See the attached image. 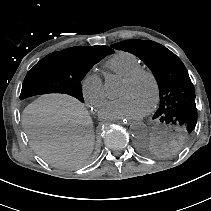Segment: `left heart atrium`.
<instances>
[{
    "instance_id": "39dd6f15",
    "label": "left heart atrium",
    "mask_w": 211,
    "mask_h": 211,
    "mask_svg": "<svg viewBox=\"0 0 211 211\" xmlns=\"http://www.w3.org/2000/svg\"><path fill=\"white\" fill-rule=\"evenodd\" d=\"M143 107L130 95L105 102L99 111L102 119L137 118L144 114Z\"/></svg>"
}]
</instances>
